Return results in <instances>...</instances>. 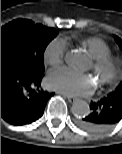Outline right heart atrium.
Segmentation results:
<instances>
[{"label":"right heart atrium","mask_w":122,"mask_h":154,"mask_svg":"<svg viewBox=\"0 0 122 154\" xmlns=\"http://www.w3.org/2000/svg\"><path fill=\"white\" fill-rule=\"evenodd\" d=\"M65 52V41L60 38H56L47 45L44 53V60L49 66L58 67L64 61Z\"/></svg>","instance_id":"obj_1"}]
</instances>
